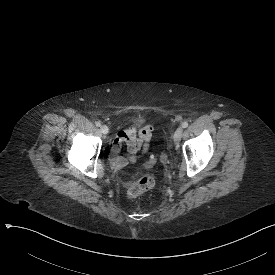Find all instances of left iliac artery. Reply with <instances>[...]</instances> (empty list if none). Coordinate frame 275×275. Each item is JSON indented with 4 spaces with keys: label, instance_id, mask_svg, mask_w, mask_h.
<instances>
[{
    "label": "left iliac artery",
    "instance_id": "left-iliac-artery-1",
    "mask_svg": "<svg viewBox=\"0 0 275 275\" xmlns=\"http://www.w3.org/2000/svg\"><path fill=\"white\" fill-rule=\"evenodd\" d=\"M182 127H183V128H187V127H188V122H186V121L183 122V123H182Z\"/></svg>",
    "mask_w": 275,
    "mask_h": 275
}]
</instances>
